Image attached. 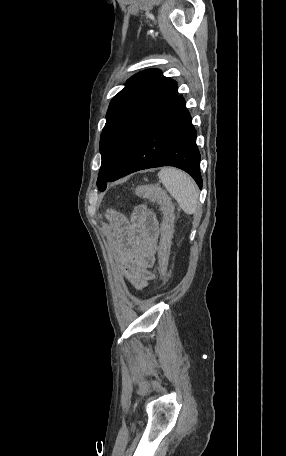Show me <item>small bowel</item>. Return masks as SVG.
I'll return each instance as SVG.
<instances>
[{"instance_id": "c3829d8e", "label": "small bowel", "mask_w": 286, "mask_h": 456, "mask_svg": "<svg viewBox=\"0 0 286 456\" xmlns=\"http://www.w3.org/2000/svg\"><path fill=\"white\" fill-rule=\"evenodd\" d=\"M115 230L110 241L113 259L120 276L136 289L154 280L156 241L159 234L156 214L145 206L136 207L130 219L113 216Z\"/></svg>"}]
</instances>
